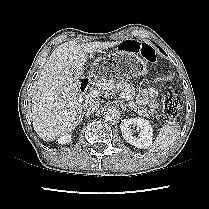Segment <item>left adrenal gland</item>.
Masks as SVG:
<instances>
[{
	"label": "left adrenal gland",
	"instance_id": "left-adrenal-gland-1",
	"mask_svg": "<svg viewBox=\"0 0 209 209\" xmlns=\"http://www.w3.org/2000/svg\"><path fill=\"white\" fill-rule=\"evenodd\" d=\"M120 105L122 110H125L127 107V105H125L123 101H120Z\"/></svg>",
	"mask_w": 209,
	"mask_h": 209
}]
</instances>
